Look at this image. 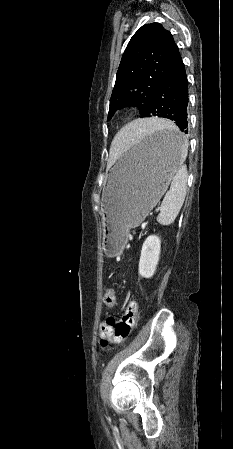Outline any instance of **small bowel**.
I'll return each mask as SVG.
<instances>
[{
    "instance_id": "1",
    "label": "small bowel",
    "mask_w": 233,
    "mask_h": 449,
    "mask_svg": "<svg viewBox=\"0 0 233 449\" xmlns=\"http://www.w3.org/2000/svg\"><path fill=\"white\" fill-rule=\"evenodd\" d=\"M105 324H106V323H101V324H100V332H101V330L103 329V327L105 326Z\"/></svg>"
}]
</instances>
